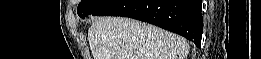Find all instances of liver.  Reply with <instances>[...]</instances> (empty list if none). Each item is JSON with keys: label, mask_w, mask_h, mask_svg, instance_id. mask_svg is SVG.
<instances>
[{"label": "liver", "mask_w": 261, "mask_h": 59, "mask_svg": "<svg viewBox=\"0 0 261 59\" xmlns=\"http://www.w3.org/2000/svg\"><path fill=\"white\" fill-rule=\"evenodd\" d=\"M88 41L94 59H185L188 53L181 36L121 17L95 19Z\"/></svg>", "instance_id": "liver-1"}]
</instances>
